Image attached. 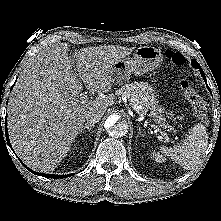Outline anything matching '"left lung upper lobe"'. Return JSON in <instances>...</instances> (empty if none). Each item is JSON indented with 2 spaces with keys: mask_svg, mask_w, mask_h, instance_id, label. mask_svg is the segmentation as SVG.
Masks as SVG:
<instances>
[{
  "mask_svg": "<svg viewBox=\"0 0 221 221\" xmlns=\"http://www.w3.org/2000/svg\"><path fill=\"white\" fill-rule=\"evenodd\" d=\"M192 65H193V67H195V68H200L199 63H198L196 60H193V61H192Z\"/></svg>",
  "mask_w": 221,
  "mask_h": 221,
  "instance_id": "5c2ea615",
  "label": "left lung upper lobe"
}]
</instances>
